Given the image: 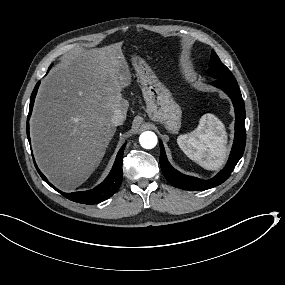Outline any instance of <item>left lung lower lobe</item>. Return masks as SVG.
I'll return each instance as SVG.
<instances>
[{"mask_svg": "<svg viewBox=\"0 0 285 285\" xmlns=\"http://www.w3.org/2000/svg\"><path fill=\"white\" fill-rule=\"evenodd\" d=\"M212 85L222 89L232 99L235 108V138L230 158L227 165L221 170L215 177L209 180H202L195 177L187 176L176 169H174L167 160L165 150L160 140V165L161 170L168 180V182L174 187L200 191L213 188L226 181L231 175L234 167L242 157L246 144V130H245V107L239 86L235 81H222L214 80Z\"/></svg>", "mask_w": 285, "mask_h": 285, "instance_id": "obj_1", "label": "left lung lower lobe"}]
</instances>
